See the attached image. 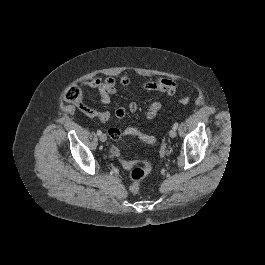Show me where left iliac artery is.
<instances>
[{"mask_svg":"<svg viewBox=\"0 0 265 265\" xmlns=\"http://www.w3.org/2000/svg\"><path fill=\"white\" fill-rule=\"evenodd\" d=\"M178 128V122H175L174 124H173V129H177Z\"/></svg>","mask_w":265,"mask_h":265,"instance_id":"left-iliac-artery-1","label":"left iliac artery"}]
</instances>
